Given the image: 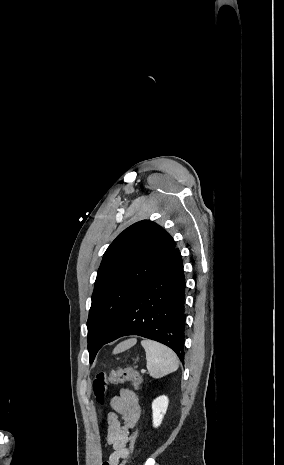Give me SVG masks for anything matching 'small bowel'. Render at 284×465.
Wrapping results in <instances>:
<instances>
[{"label":"small bowel","mask_w":284,"mask_h":465,"mask_svg":"<svg viewBox=\"0 0 284 465\" xmlns=\"http://www.w3.org/2000/svg\"><path fill=\"white\" fill-rule=\"evenodd\" d=\"M110 404L113 411L107 416L106 441L114 451L102 465H118L121 459L129 456L127 443L141 415L138 398L129 389H123L119 396H114Z\"/></svg>","instance_id":"obj_1"}]
</instances>
